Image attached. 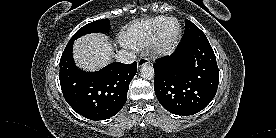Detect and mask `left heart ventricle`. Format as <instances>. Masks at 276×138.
<instances>
[{
	"mask_svg": "<svg viewBox=\"0 0 276 138\" xmlns=\"http://www.w3.org/2000/svg\"><path fill=\"white\" fill-rule=\"evenodd\" d=\"M178 29V25L175 21H171L167 24L166 29H165V38L168 40L174 36Z\"/></svg>",
	"mask_w": 276,
	"mask_h": 138,
	"instance_id": "obj_1",
	"label": "left heart ventricle"
}]
</instances>
